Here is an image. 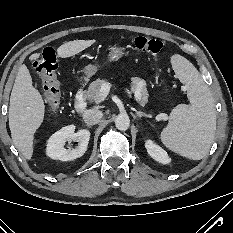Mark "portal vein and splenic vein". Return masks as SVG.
Segmentation results:
<instances>
[{
	"instance_id": "1",
	"label": "portal vein and splenic vein",
	"mask_w": 233,
	"mask_h": 233,
	"mask_svg": "<svg viewBox=\"0 0 233 233\" xmlns=\"http://www.w3.org/2000/svg\"><path fill=\"white\" fill-rule=\"evenodd\" d=\"M110 89H111V85L107 82V83H104L102 86H101V89H100V94L102 95L103 99L109 94L110 92ZM125 91L126 93L128 94L129 98H132V95H131V92L128 88H125ZM158 118L160 120H167L168 117L166 114H159L158 115Z\"/></svg>"
}]
</instances>
